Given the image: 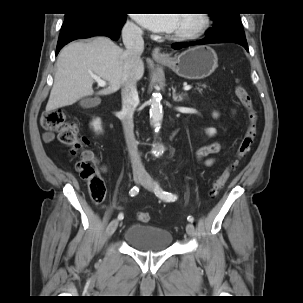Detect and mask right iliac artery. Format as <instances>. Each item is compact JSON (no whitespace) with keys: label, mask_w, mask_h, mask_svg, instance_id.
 <instances>
[{"label":"right iliac artery","mask_w":303,"mask_h":303,"mask_svg":"<svg viewBox=\"0 0 303 303\" xmlns=\"http://www.w3.org/2000/svg\"><path fill=\"white\" fill-rule=\"evenodd\" d=\"M138 192H139V187H138V186H134V187L129 191V194H130V196L133 197V196L137 195ZM123 218H124L123 214L120 213V214L118 215V219H119V220H122Z\"/></svg>","instance_id":"right-iliac-artery-1"}]
</instances>
